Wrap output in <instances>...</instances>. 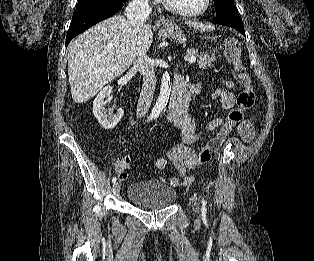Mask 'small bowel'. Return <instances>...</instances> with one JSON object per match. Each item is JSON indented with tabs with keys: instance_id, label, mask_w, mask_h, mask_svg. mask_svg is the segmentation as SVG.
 Masks as SVG:
<instances>
[{
	"instance_id": "c3829d8e",
	"label": "small bowel",
	"mask_w": 314,
	"mask_h": 261,
	"mask_svg": "<svg viewBox=\"0 0 314 261\" xmlns=\"http://www.w3.org/2000/svg\"><path fill=\"white\" fill-rule=\"evenodd\" d=\"M233 88L234 83L225 78L220 79V85L212 90H204L198 85L189 87L193 96L204 95L216 100L226 111L231 110L235 105ZM170 120L181 130L183 144L173 147L169 151L168 159L164 157L158 158L155 165L159 171L164 173L161 180L170 186L176 187L181 183H189L191 180L189 172L197 166L195 162L197 153L188 145L199 142L204 133L221 128L225 120L223 118L212 119L201 129L198 128L196 121L184 111L176 114ZM239 132L244 142L249 143L253 139L254 129L248 120H244L239 124ZM169 163L177 170L180 179L165 174ZM130 165L131 159L129 156L120 157L114 162L113 169L117 173L120 182H125L128 179L126 170L130 168Z\"/></svg>"
}]
</instances>
